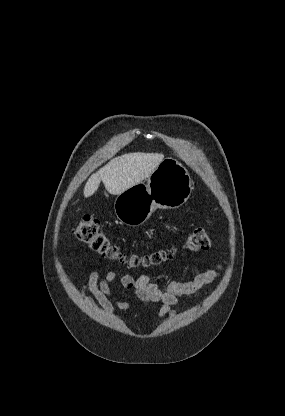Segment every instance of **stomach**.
I'll return each mask as SVG.
<instances>
[{
  "label": "stomach",
  "mask_w": 285,
  "mask_h": 416,
  "mask_svg": "<svg viewBox=\"0 0 285 416\" xmlns=\"http://www.w3.org/2000/svg\"><path fill=\"white\" fill-rule=\"evenodd\" d=\"M193 190V182L186 168L174 160L165 158L149 178L122 194L114 202L115 214L126 226H141L157 208L174 210L187 202Z\"/></svg>",
  "instance_id": "stomach-1"
}]
</instances>
